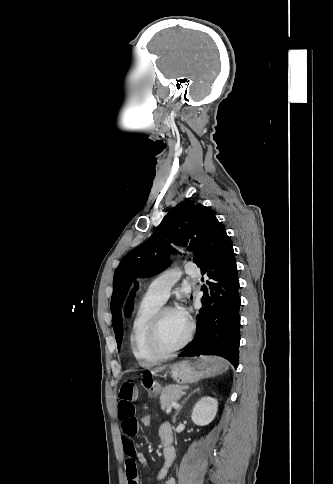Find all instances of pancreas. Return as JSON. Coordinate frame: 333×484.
I'll list each match as a JSON object with an SVG mask.
<instances>
[{"label":"pancreas","mask_w":333,"mask_h":484,"mask_svg":"<svg viewBox=\"0 0 333 484\" xmlns=\"http://www.w3.org/2000/svg\"><path fill=\"white\" fill-rule=\"evenodd\" d=\"M185 387L180 385H168L162 390L160 396V404L162 410H167L172 407L184 395Z\"/></svg>","instance_id":"cf45deb5"}]
</instances>
